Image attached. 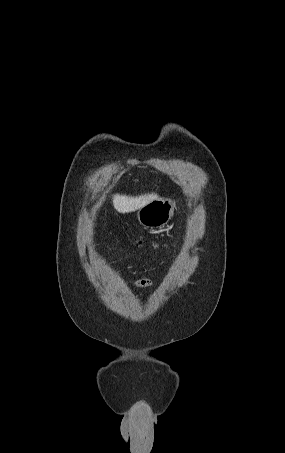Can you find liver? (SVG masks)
<instances>
[{"mask_svg":"<svg viewBox=\"0 0 285 453\" xmlns=\"http://www.w3.org/2000/svg\"><path fill=\"white\" fill-rule=\"evenodd\" d=\"M157 197L158 196L155 193L145 194L136 197L115 194L113 196V205L114 208L119 213L124 214L141 208L142 206L146 205L147 203H149L150 201Z\"/></svg>","mask_w":285,"mask_h":453,"instance_id":"liver-1","label":"liver"}]
</instances>
